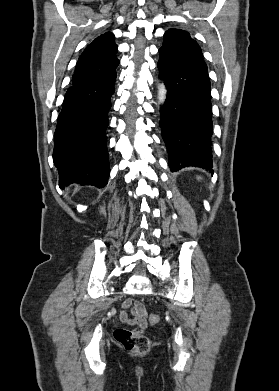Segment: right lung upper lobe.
Returning a JSON list of instances; mask_svg holds the SVG:
<instances>
[{"instance_id": "right-lung-upper-lobe-1", "label": "right lung upper lobe", "mask_w": 279, "mask_h": 391, "mask_svg": "<svg viewBox=\"0 0 279 391\" xmlns=\"http://www.w3.org/2000/svg\"><path fill=\"white\" fill-rule=\"evenodd\" d=\"M117 48L112 33L107 32L97 37L79 57L72 85L93 82L115 72L119 64Z\"/></svg>"}]
</instances>
